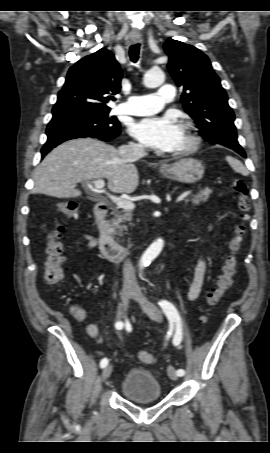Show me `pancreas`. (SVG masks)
Segmentation results:
<instances>
[{"label": "pancreas", "mask_w": 270, "mask_h": 453, "mask_svg": "<svg viewBox=\"0 0 270 453\" xmlns=\"http://www.w3.org/2000/svg\"><path fill=\"white\" fill-rule=\"evenodd\" d=\"M212 193V190L209 188H205L201 190L196 195H192L191 197L185 200L186 203L191 202L194 205H200L203 202H206ZM114 217L108 221V229L113 235H123V231H127V226L125 223L132 221V212L129 210H121L118 209L113 211Z\"/></svg>", "instance_id": "cf45deb5"}]
</instances>
